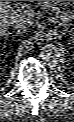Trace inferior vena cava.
<instances>
[{"instance_id": "inferior-vena-cava-1", "label": "inferior vena cava", "mask_w": 74, "mask_h": 122, "mask_svg": "<svg viewBox=\"0 0 74 122\" xmlns=\"http://www.w3.org/2000/svg\"><path fill=\"white\" fill-rule=\"evenodd\" d=\"M9 23L14 29L24 33L29 25V19L25 15L18 14L12 16Z\"/></svg>"}]
</instances>
